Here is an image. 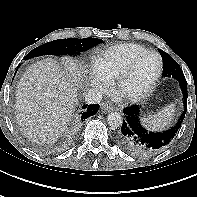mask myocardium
I'll return each mask as SVG.
<instances>
[{
    "label": "myocardium",
    "instance_id": "f54148a6",
    "mask_svg": "<svg viewBox=\"0 0 197 197\" xmlns=\"http://www.w3.org/2000/svg\"><path fill=\"white\" fill-rule=\"evenodd\" d=\"M147 56H155L158 59L159 66H158V70H157L155 76L153 77V79L150 81L148 86L143 91L136 93V94H131V93L125 92L124 86H125V83L127 82L128 78L132 74L136 65L143 58H145ZM162 71H163V60H162V57L160 56L159 53L152 52V51H147L145 53H142V54L136 56L135 58H133L130 61V63L124 68V70L121 72V74L117 77V79L114 83V87H113L114 95L120 101H123V102H131L132 103V102L141 101V100L145 99L146 97H148L152 93V91L156 87L158 80L161 77Z\"/></svg>",
    "mask_w": 197,
    "mask_h": 197
}]
</instances>
